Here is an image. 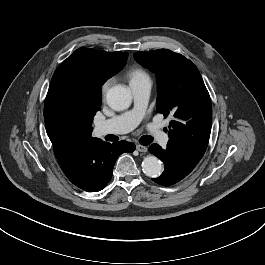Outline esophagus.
<instances>
[{
	"label": "esophagus",
	"mask_w": 265,
	"mask_h": 265,
	"mask_svg": "<svg viewBox=\"0 0 265 265\" xmlns=\"http://www.w3.org/2000/svg\"><path fill=\"white\" fill-rule=\"evenodd\" d=\"M136 149L139 151V152H147L148 148L146 146H143V145H140V144H137L136 145Z\"/></svg>",
	"instance_id": "obj_1"
}]
</instances>
